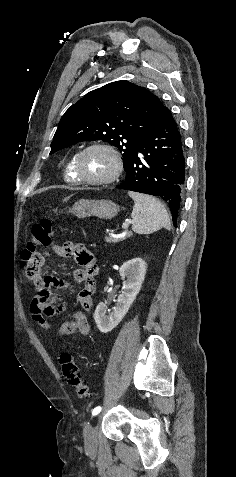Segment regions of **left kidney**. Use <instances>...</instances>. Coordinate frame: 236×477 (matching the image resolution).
I'll list each match as a JSON object with an SVG mask.
<instances>
[{
    "label": "left kidney",
    "instance_id": "5707ae66",
    "mask_svg": "<svg viewBox=\"0 0 236 477\" xmlns=\"http://www.w3.org/2000/svg\"><path fill=\"white\" fill-rule=\"evenodd\" d=\"M120 275L127 280L123 282L122 294L117 299L114 311L106 315V304L101 302L94 313L95 323L102 333L113 330L128 312L130 306L139 293L146 274V263L141 258H134L120 267Z\"/></svg>",
    "mask_w": 236,
    "mask_h": 477
}]
</instances>
